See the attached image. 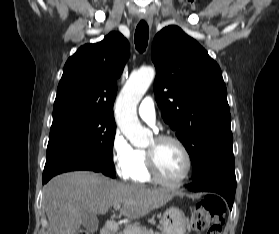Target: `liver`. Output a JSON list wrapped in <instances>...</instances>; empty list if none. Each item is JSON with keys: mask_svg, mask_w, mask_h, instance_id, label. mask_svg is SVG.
<instances>
[{"mask_svg": "<svg viewBox=\"0 0 279 234\" xmlns=\"http://www.w3.org/2000/svg\"><path fill=\"white\" fill-rule=\"evenodd\" d=\"M172 197L164 190L125 184L89 171L64 173L50 180L43 191L47 234H76L83 214L103 215L116 203L122 204L121 215L139 219Z\"/></svg>", "mask_w": 279, "mask_h": 234, "instance_id": "6515ba94", "label": "liver"}]
</instances>
